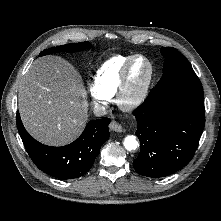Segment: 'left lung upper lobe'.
<instances>
[{
    "mask_svg": "<svg viewBox=\"0 0 221 221\" xmlns=\"http://www.w3.org/2000/svg\"><path fill=\"white\" fill-rule=\"evenodd\" d=\"M161 53L165 58L163 65V76L157 83L155 88H162L169 82L184 76L195 75L190 63L175 48L162 47Z\"/></svg>",
    "mask_w": 221,
    "mask_h": 221,
    "instance_id": "left-lung-upper-lobe-1",
    "label": "left lung upper lobe"
}]
</instances>
